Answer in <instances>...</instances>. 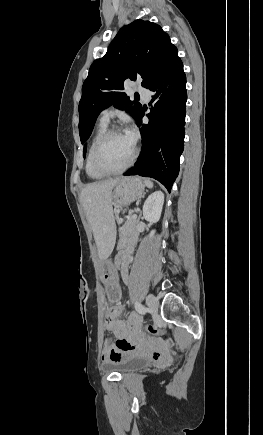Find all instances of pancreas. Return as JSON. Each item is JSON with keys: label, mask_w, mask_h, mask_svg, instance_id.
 <instances>
[{"label": "pancreas", "mask_w": 263, "mask_h": 435, "mask_svg": "<svg viewBox=\"0 0 263 435\" xmlns=\"http://www.w3.org/2000/svg\"><path fill=\"white\" fill-rule=\"evenodd\" d=\"M132 216V213H129L125 224L120 228V247L124 246L126 243L136 240L139 236V233L136 230L138 219L133 218Z\"/></svg>", "instance_id": "1"}]
</instances>
